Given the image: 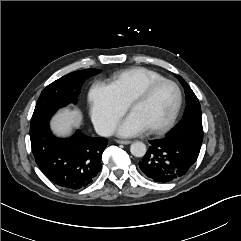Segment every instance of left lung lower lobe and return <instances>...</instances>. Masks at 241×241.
Here are the masks:
<instances>
[{"mask_svg": "<svg viewBox=\"0 0 241 241\" xmlns=\"http://www.w3.org/2000/svg\"><path fill=\"white\" fill-rule=\"evenodd\" d=\"M150 144L139 167L155 182L166 183L179 179L188 172L198 157V154L176 139L152 140Z\"/></svg>", "mask_w": 241, "mask_h": 241, "instance_id": "obj_1", "label": "left lung lower lobe"}]
</instances>
